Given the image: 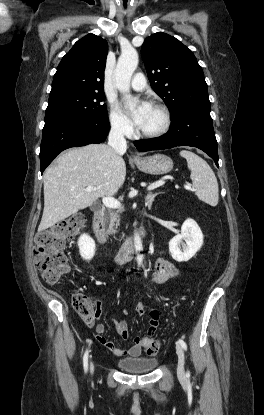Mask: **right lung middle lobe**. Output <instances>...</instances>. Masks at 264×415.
<instances>
[{
	"label": "right lung middle lobe",
	"mask_w": 264,
	"mask_h": 415,
	"mask_svg": "<svg viewBox=\"0 0 264 415\" xmlns=\"http://www.w3.org/2000/svg\"><path fill=\"white\" fill-rule=\"evenodd\" d=\"M104 92L67 91L49 96L45 124L74 119L108 118Z\"/></svg>",
	"instance_id": "obj_1"
}]
</instances>
